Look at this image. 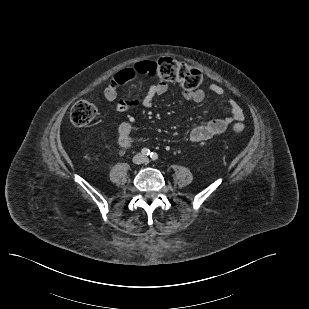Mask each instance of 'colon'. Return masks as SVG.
Wrapping results in <instances>:
<instances>
[{"instance_id": "obj_1", "label": "colon", "mask_w": 309, "mask_h": 309, "mask_svg": "<svg viewBox=\"0 0 309 309\" xmlns=\"http://www.w3.org/2000/svg\"><path fill=\"white\" fill-rule=\"evenodd\" d=\"M156 74L163 80L179 84L185 91H191L200 86L202 75L196 68L170 57L152 61ZM94 104L81 100L76 102L70 111V121L77 127L87 126L96 116ZM233 130L240 133L244 130L242 123H235Z\"/></svg>"}]
</instances>
